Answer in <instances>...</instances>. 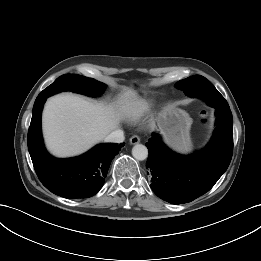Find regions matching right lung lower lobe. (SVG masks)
Returning a JSON list of instances; mask_svg holds the SVG:
<instances>
[{
  "mask_svg": "<svg viewBox=\"0 0 261 261\" xmlns=\"http://www.w3.org/2000/svg\"><path fill=\"white\" fill-rule=\"evenodd\" d=\"M47 95H38L28 131V149L42 184L52 193L68 198H88L103 186L112 159L125 143H105L87 153L69 159H56L44 148L41 113Z\"/></svg>",
  "mask_w": 261,
  "mask_h": 261,
  "instance_id": "1",
  "label": "right lung lower lobe"
}]
</instances>
